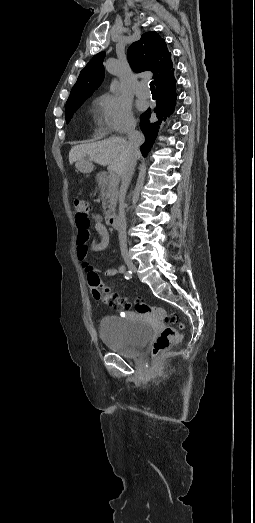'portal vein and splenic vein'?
<instances>
[{
  "mask_svg": "<svg viewBox=\"0 0 255 523\" xmlns=\"http://www.w3.org/2000/svg\"><path fill=\"white\" fill-rule=\"evenodd\" d=\"M109 173H110L111 175H114V174L116 173V170H115L114 168H111V169L109 170Z\"/></svg>",
  "mask_w": 255,
  "mask_h": 523,
  "instance_id": "obj_1",
  "label": "portal vein and splenic vein"
}]
</instances>
